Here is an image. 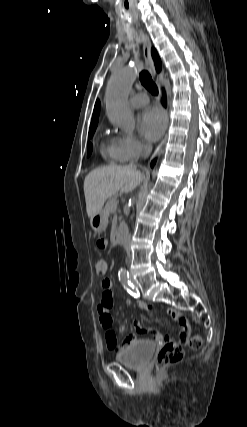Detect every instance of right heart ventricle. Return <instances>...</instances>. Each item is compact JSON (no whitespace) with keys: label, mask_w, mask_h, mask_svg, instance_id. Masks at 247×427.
<instances>
[{"label":"right heart ventricle","mask_w":247,"mask_h":427,"mask_svg":"<svg viewBox=\"0 0 247 427\" xmlns=\"http://www.w3.org/2000/svg\"><path fill=\"white\" fill-rule=\"evenodd\" d=\"M102 154L112 161H121L116 140H112L103 144Z\"/></svg>","instance_id":"right-heart-ventricle-1"}]
</instances>
